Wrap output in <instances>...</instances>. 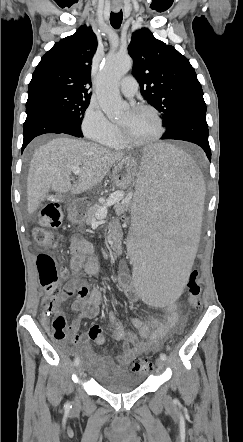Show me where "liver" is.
Returning <instances> with one entry per match:
<instances>
[{
  "label": "liver",
  "mask_w": 243,
  "mask_h": 442,
  "mask_svg": "<svg viewBox=\"0 0 243 442\" xmlns=\"http://www.w3.org/2000/svg\"><path fill=\"white\" fill-rule=\"evenodd\" d=\"M123 158V152L69 137H57L40 145L33 154L27 178L28 213L39 208L50 190L75 195L93 188ZM73 167H80L81 173L72 185Z\"/></svg>",
  "instance_id": "obj_1"
}]
</instances>
